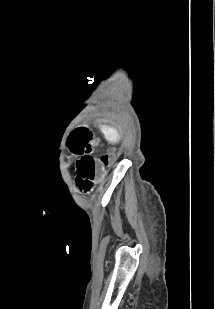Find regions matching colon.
I'll use <instances>...</instances> for the list:
<instances>
[{"mask_svg": "<svg viewBox=\"0 0 215 309\" xmlns=\"http://www.w3.org/2000/svg\"><path fill=\"white\" fill-rule=\"evenodd\" d=\"M110 156L108 154H104L102 156V163L105 165H109L110 164Z\"/></svg>", "mask_w": 215, "mask_h": 309, "instance_id": "obj_1", "label": "colon"}]
</instances>
